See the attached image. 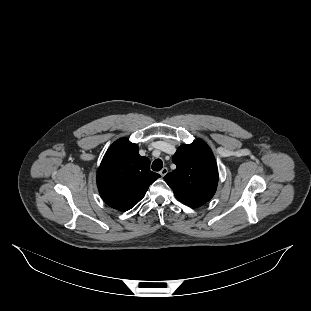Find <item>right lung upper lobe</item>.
<instances>
[{"label":"right lung upper lobe","instance_id":"right-lung-upper-lobe-1","mask_svg":"<svg viewBox=\"0 0 311 311\" xmlns=\"http://www.w3.org/2000/svg\"><path fill=\"white\" fill-rule=\"evenodd\" d=\"M159 177L150 170L149 159L139 155L138 146L121 138L104 155L97 172V186L106 204L127 211L145 196Z\"/></svg>","mask_w":311,"mask_h":311}]
</instances>
